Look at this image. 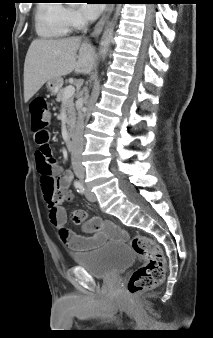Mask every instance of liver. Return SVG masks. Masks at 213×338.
<instances>
[{"label": "liver", "mask_w": 213, "mask_h": 338, "mask_svg": "<svg viewBox=\"0 0 213 338\" xmlns=\"http://www.w3.org/2000/svg\"><path fill=\"white\" fill-rule=\"evenodd\" d=\"M93 67L94 48L79 37L36 39L24 63V101L28 102L51 79L71 72L88 75Z\"/></svg>", "instance_id": "1"}]
</instances>
